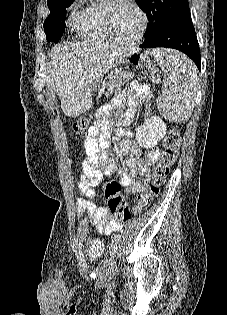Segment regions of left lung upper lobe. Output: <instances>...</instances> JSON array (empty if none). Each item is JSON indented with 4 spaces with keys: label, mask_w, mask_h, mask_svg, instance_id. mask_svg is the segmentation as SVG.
Returning <instances> with one entry per match:
<instances>
[{
    "label": "left lung upper lobe",
    "mask_w": 227,
    "mask_h": 315,
    "mask_svg": "<svg viewBox=\"0 0 227 315\" xmlns=\"http://www.w3.org/2000/svg\"><path fill=\"white\" fill-rule=\"evenodd\" d=\"M136 3L149 19L146 38L167 23L190 16L188 0H136Z\"/></svg>",
    "instance_id": "obj_1"
}]
</instances>
